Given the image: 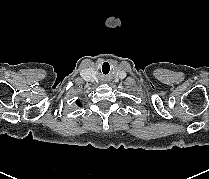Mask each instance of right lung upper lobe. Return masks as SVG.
<instances>
[{
	"instance_id": "right-lung-upper-lobe-1",
	"label": "right lung upper lobe",
	"mask_w": 209,
	"mask_h": 179,
	"mask_svg": "<svg viewBox=\"0 0 209 179\" xmlns=\"http://www.w3.org/2000/svg\"><path fill=\"white\" fill-rule=\"evenodd\" d=\"M77 105H78V106H81V102L77 101Z\"/></svg>"
}]
</instances>
